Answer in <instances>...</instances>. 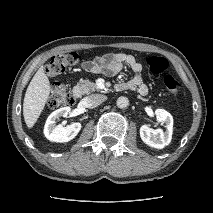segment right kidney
<instances>
[{
	"label": "right kidney",
	"mask_w": 213,
	"mask_h": 213,
	"mask_svg": "<svg viewBox=\"0 0 213 213\" xmlns=\"http://www.w3.org/2000/svg\"><path fill=\"white\" fill-rule=\"evenodd\" d=\"M70 107H63L52 112L46 120L44 126L45 137L53 142H68L72 140L81 130V123L76 122L66 127L61 124L55 125L59 117H67L70 113Z\"/></svg>",
	"instance_id": "obj_1"
}]
</instances>
